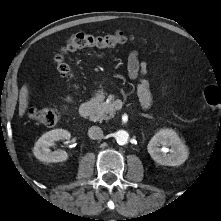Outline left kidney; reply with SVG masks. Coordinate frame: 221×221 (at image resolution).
<instances>
[{"label": "left kidney", "instance_id": "5707ae66", "mask_svg": "<svg viewBox=\"0 0 221 221\" xmlns=\"http://www.w3.org/2000/svg\"><path fill=\"white\" fill-rule=\"evenodd\" d=\"M148 153L165 166H179L188 158V148L172 129L159 130L149 141Z\"/></svg>", "mask_w": 221, "mask_h": 221}]
</instances>
